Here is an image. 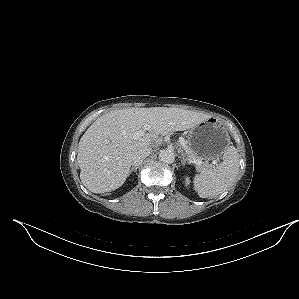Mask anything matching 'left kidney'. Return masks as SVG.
Instances as JSON below:
<instances>
[{
  "mask_svg": "<svg viewBox=\"0 0 299 299\" xmlns=\"http://www.w3.org/2000/svg\"><path fill=\"white\" fill-rule=\"evenodd\" d=\"M189 183H190V179H189L188 177H186V178H185V184H186V186H188Z\"/></svg>",
  "mask_w": 299,
  "mask_h": 299,
  "instance_id": "obj_1",
  "label": "left kidney"
}]
</instances>
